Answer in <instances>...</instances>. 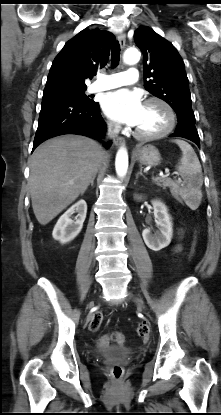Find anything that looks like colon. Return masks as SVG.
<instances>
[{"label": "colon", "mask_w": 221, "mask_h": 415, "mask_svg": "<svg viewBox=\"0 0 221 415\" xmlns=\"http://www.w3.org/2000/svg\"><path fill=\"white\" fill-rule=\"evenodd\" d=\"M178 192L179 191H178V189L176 187H172L169 190V193L174 197L175 200H177V201L179 200V202H182V199H181L182 196ZM195 246H196V243H194V246H193V248L191 250V257H193L194 254H195ZM102 321H103V315H102V313H100V312L95 313L93 315L91 321H90V329L92 331H97L100 328V326L102 324ZM137 334L141 338L146 339L148 337V335H149V328H148L147 324L140 323L137 326ZM110 339H112L113 341H115L119 345H122L125 342V337H124V335L121 332H114L110 336H103V337H101L99 339V344L101 346H106L109 343V340ZM110 374H111V376H112V378L114 380H117V381L120 380L122 378V376H123V368H122V366H120L118 364L113 365L111 367V369H110Z\"/></svg>", "instance_id": "1"}]
</instances>
